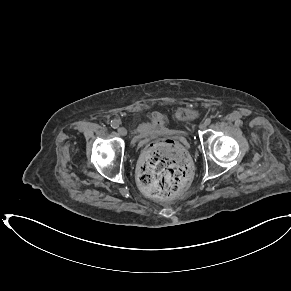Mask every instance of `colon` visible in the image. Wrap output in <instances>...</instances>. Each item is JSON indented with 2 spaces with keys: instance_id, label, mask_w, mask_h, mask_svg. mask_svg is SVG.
<instances>
[{
  "instance_id": "5ec220e1",
  "label": "colon",
  "mask_w": 291,
  "mask_h": 291,
  "mask_svg": "<svg viewBox=\"0 0 291 291\" xmlns=\"http://www.w3.org/2000/svg\"><path fill=\"white\" fill-rule=\"evenodd\" d=\"M177 116L186 121L192 117V112L182 109ZM189 180V160L174 141L152 143L143 153L138 183L149 196L168 198L177 195L187 187Z\"/></svg>"
}]
</instances>
